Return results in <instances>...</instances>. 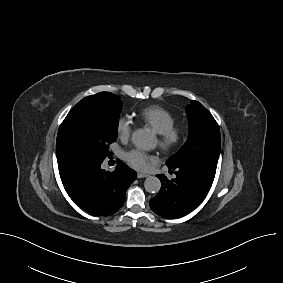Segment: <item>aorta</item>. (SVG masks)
Returning a JSON list of instances; mask_svg holds the SVG:
<instances>
[{"mask_svg": "<svg viewBox=\"0 0 283 283\" xmlns=\"http://www.w3.org/2000/svg\"><path fill=\"white\" fill-rule=\"evenodd\" d=\"M131 140L133 144L140 149L150 150L155 145L153 135L143 129H137L132 133ZM145 190L149 193H158L161 188L160 180L155 176H149L144 182Z\"/></svg>", "mask_w": 283, "mask_h": 283, "instance_id": "aorta-1", "label": "aorta"}]
</instances>
